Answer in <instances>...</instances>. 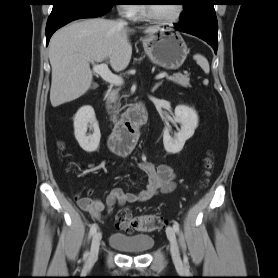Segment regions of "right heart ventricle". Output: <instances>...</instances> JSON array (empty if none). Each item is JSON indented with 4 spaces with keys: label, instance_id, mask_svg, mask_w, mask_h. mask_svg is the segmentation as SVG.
<instances>
[{
    "label": "right heart ventricle",
    "instance_id": "1",
    "mask_svg": "<svg viewBox=\"0 0 278 278\" xmlns=\"http://www.w3.org/2000/svg\"><path fill=\"white\" fill-rule=\"evenodd\" d=\"M136 17L137 18H143L144 17V10H143L142 7H139V10H138V12L136 14Z\"/></svg>",
    "mask_w": 278,
    "mask_h": 278
}]
</instances>
